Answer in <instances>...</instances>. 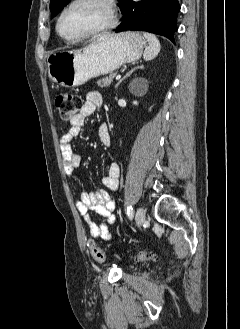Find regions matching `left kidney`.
<instances>
[{"label": "left kidney", "mask_w": 240, "mask_h": 329, "mask_svg": "<svg viewBox=\"0 0 240 329\" xmlns=\"http://www.w3.org/2000/svg\"><path fill=\"white\" fill-rule=\"evenodd\" d=\"M147 87H148V82L145 79L140 78L132 81V83L130 84V91L132 93L141 95L145 93Z\"/></svg>", "instance_id": "1"}]
</instances>
